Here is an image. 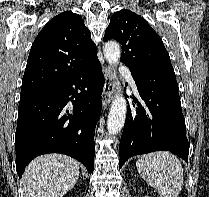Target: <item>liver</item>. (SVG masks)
I'll return each instance as SVG.
<instances>
[{"mask_svg": "<svg viewBox=\"0 0 209 197\" xmlns=\"http://www.w3.org/2000/svg\"><path fill=\"white\" fill-rule=\"evenodd\" d=\"M79 162L62 154L35 158L23 175L26 197H62L76 184Z\"/></svg>", "mask_w": 209, "mask_h": 197, "instance_id": "6515ba94", "label": "liver"}]
</instances>
